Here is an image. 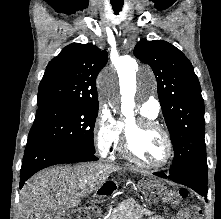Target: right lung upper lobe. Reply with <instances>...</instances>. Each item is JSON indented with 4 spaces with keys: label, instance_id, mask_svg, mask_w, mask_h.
Instances as JSON below:
<instances>
[{
    "label": "right lung upper lobe",
    "instance_id": "right-lung-upper-lobe-1",
    "mask_svg": "<svg viewBox=\"0 0 221 219\" xmlns=\"http://www.w3.org/2000/svg\"><path fill=\"white\" fill-rule=\"evenodd\" d=\"M107 60V52L91 43L66 46L49 62L39 85L37 103L99 104L96 78Z\"/></svg>",
    "mask_w": 221,
    "mask_h": 219
}]
</instances>
